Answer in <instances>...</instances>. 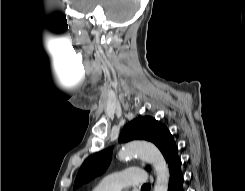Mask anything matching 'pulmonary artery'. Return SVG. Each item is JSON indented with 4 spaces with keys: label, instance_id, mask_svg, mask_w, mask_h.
Wrapping results in <instances>:
<instances>
[{
    "label": "pulmonary artery",
    "instance_id": "pulmonary-artery-1",
    "mask_svg": "<svg viewBox=\"0 0 245 191\" xmlns=\"http://www.w3.org/2000/svg\"><path fill=\"white\" fill-rule=\"evenodd\" d=\"M147 177V173L142 169L126 168L104 178L93 191H121L130 186L146 183Z\"/></svg>",
    "mask_w": 245,
    "mask_h": 191
}]
</instances>
